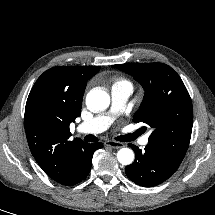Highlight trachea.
I'll return each mask as SVG.
<instances>
[{
	"label": "trachea",
	"mask_w": 215,
	"mask_h": 215,
	"mask_svg": "<svg viewBox=\"0 0 215 215\" xmlns=\"http://www.w3.org/2000/svg\"><path fill=\"white\" fill-rule=\"evenodd\" d=\"M140 131H136L133 134L121 135L116 138V140L121 142H129L135 140L139 135ZM86 142H97L98 139L94 135H87L84 139Z\"/></svg>",
	"instance_id": "obj_1"
}]
</instances>
